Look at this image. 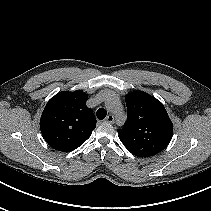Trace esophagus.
Instances as JSON below:
<instances>
[{
  "label": "esophagus",
  "mask_w": 211,
  "mask_h": 211,
  "mask_svg": "<svg viewBox=\"0 0 211 211\" xmlns=\"http://www.w3.org/2000/svg\"><path fill=\"white\" fill-rule=\"evenodd\" d=\"M106 122L108 123H114V116L113 115H108L105 119Z\"/></svg>",
  "instance_id": "obj_1"
}]
</instances>
